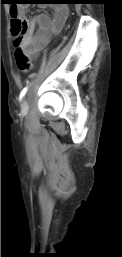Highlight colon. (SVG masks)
<instances>
[{"label":"colon","mask_w":122,"mask_h":257,"mask_svg":"<svg viewBox=\"0 0 122 257\" xmlns=\"http://www.w3.org/2000/svg\"><path fill=\"white\" fill-rule=\"evenodd\" d=\"M22 10H28V5H11V31L16 38L17 47L14 52L16 65L19 70L27 72L31 69L29 57L17 45L27 29V21L22 15Z\"/></svg>","instance_id":"colon-1"}]
</instances>
